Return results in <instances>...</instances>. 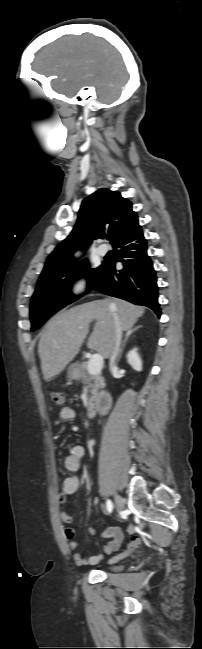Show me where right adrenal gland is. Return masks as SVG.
Masks as SVG:
<instances>
[{
    "label": "right adrenal gland",
    "mask_w": 202,
    "mask_h": 649,
    "mask_svg": "<svg viewBox=\"0 0 202 649\" xmlns=\"http://www.w3.org/2000/svg\"><path fill=\"white\" fill-rule=\"evenodd\" d=\"M139 328H141V326H138V327H136V328H129V329L126 331L125 339L123 340V343H122V345H121V348H120V351H119V354H118V358H117V360L120 359V357H121V355H122V353H123V350H124V347H125V345H126V342H127L128 338H129V337H130V336H131L135 331H137Z\"/></svg>",
    "instance_id": "obj_1"
}]
</instances>
